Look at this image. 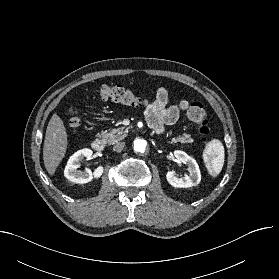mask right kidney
Here are the masks:
<instances>
[{"label": "right kidney", "instance_id": "obj_1", "mask_svg": "<svg viewBox=\"0 0 279 279\" xmlns=\"http://www.w3.org/2000/svg\"><path fill=\"white\" fill-rule=\"evenodd\" d=\"M92 155L93 151L88 148L75 152L67 162L64 176L71 182L77 184H85L91 182L93 179L100 178L104 170L102 166L97 167L93 172L90 169H86L85 171L77 170L80 167L81 162L84 159L90 160Z\"/></svg>", "mask_w": 279, "mask_h": 279}]
</instances>
